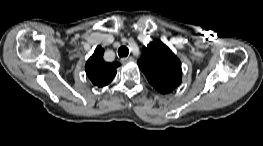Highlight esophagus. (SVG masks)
Masks as SVG:
<instances>
[{
    "label": "esophagus",
    "mask_w": 263,
    "mask_h": 146,
    "mask_svg": "<svg viewBox=\"0 0 263 146\" xmlns=\"http://www.w3.org/2000/svg\"><path fill=\"white\" fill-rule=\"evenodd\" d=\"M134 60V58L133 57H123V58H121V62L122 63H126V62H132Z\"/></svg>",
    "instance_id": "1"
}]
</instances>
